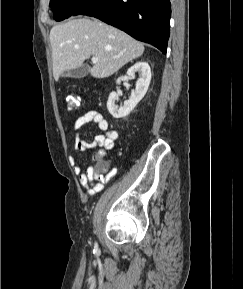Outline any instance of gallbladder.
I'll use <instances>...</instances> for the list:
<instances>
[{
    "instance_id": "1",
    "label": "gallbladder",
    "mask_w": 243,
    "mask_h": 289,
    "mask_svg": "<svg viewBox=\"0 0 243 289\" xmlns=\"http://www.w3.org/2000/svg\"><path fill=\"white\" fill-rule=\"evenodd\" d=\"M89 73L88 66H81L74 69L66 70L62 73V77L83 78Z\"/></svg>"
}]
</instances>
